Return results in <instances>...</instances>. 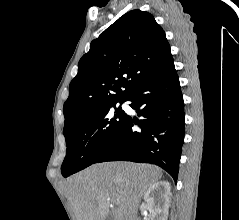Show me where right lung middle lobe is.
Listing matches in <instances>:
<instances>
[{"mask_svg": "<svg viewBox=\"0 0 239 220\" xmlns=\"http://www.w3.org/2000/svg\"><path fill=\"white\" fill-rule=\"evenodd\" d=\"M116 103L95 109L64 130L67 153L61 173L68 177L95 162L123 125L127 114Z\"/></svg>", "mask_w": 239, "mask_h": 220, "instance_id": "dd1d6c3e", "label": "right lung middle lobe"}]
</instances>
